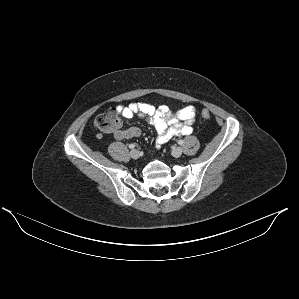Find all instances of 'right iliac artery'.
<instances>
[{"mask_svg": "<svg viewBox=\"0 0 299 299\" xmlns=\"http://www.w3.org/2000/svg\"><path fill=\"white\" fill-rule=\"evenodd\" d=\"M135 147H136L135 144H130V145H129V148H130V149H134Z\"/></svg>", "mask_w": 299, "mask_h": 299, "instance_id": "obj_1", "label": "right iliac artery"}]
</instances>
